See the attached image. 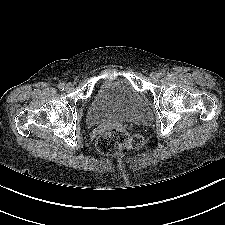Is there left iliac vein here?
<instances>
[{
  "label": "left iliac vein",
  "instance_id": "left-iliac-vein-1",
  "mask_svg": "<svg viewBox=\"0 0 225 225\" xmlns=\"http://www.w3.org/2000/svg\"><path fill=\"white\" fill-rule=\"evenodd\" d=\"M150 77H151V79H153V80H157L158 78H160V74L157 73V72H152V73L150 74Z\"/></svg>",
  "mask_w": 225,
  "mask_h": 225
}]
</instances>
